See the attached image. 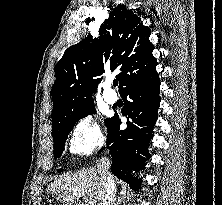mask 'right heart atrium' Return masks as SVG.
I'll return each instance as SVG.
<instances>
[{"label":"right heart atrium","mask_w":222,"mask_h":205,"mask_svg":"<svg viewBox=\"0 0 222 205\" xmlns=\"http://www.w3.org/2000/svg\"><path fill=\"white\" fill-rule=\"evenodd\" d=\"M105 136L96 119L85 116L81 118L71 131L69 149L76 154L88 155L101 147Z\"/></svg>","instance_id":"1"}]
</instances>
